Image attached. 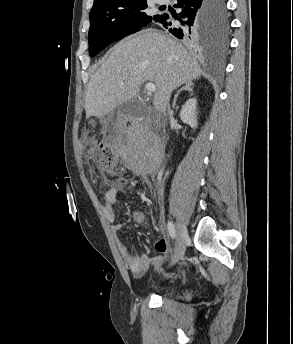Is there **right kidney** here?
I'll return each instance as SVG.
<instances>
[{"label":"right kidney","mask_w":293,"mask_h":344,"mask_svg":"<svg viewBox=\"0 0 293 344\" xmlns=\"http://www.w3.org/2000/svg\"><path fill=\"white\" fill-rule=\"evenodd\" d=\"M180 118L183 123L188 124L192 128H196L198 125L196 115V99L191 98L186 101L180 111Z\"/></svg>","instance_id":"obj_1"}]
</instances>
